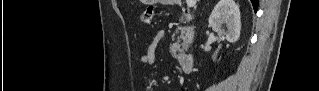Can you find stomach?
I'll return each instance as SVG.
<instances>
[{
	"label": "stomach",
	"instance_id": "0dacf381",
	"mask_svg": "<svg viewBox=\"0 0 319 91\" xmlns=\"http://www.w3.org/2000/svg\"><path fill=\"white\" fill-rule=\"evenodd\" d=\"M159 0H144V2L146 4H155L157 3ZM162 2H165V3H171L173 2V0H162Z\"/></svg>",
	"mask_w": 319,
	"mask_h": 91
}]
</instances>
